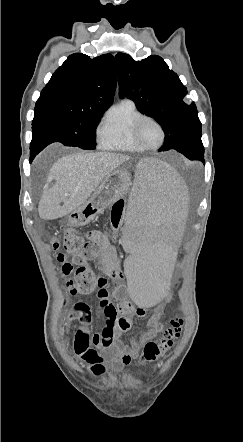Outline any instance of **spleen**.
Returning <instances> with one entry per match:
<instances>
[{
    "label": "spleen",
    "instance_id": "1",
    "mask_svg": "<svg viewBox=\"0 0 243 442\" xmlns=\"http://www.w3.org/2000/svg\"><path fill=\"white\" fill-rule=\"evenodd\" d=\"M127 217L121 234L127 248L122 265L128 287L126 296L134 307H158L170 291V274L178 258L187 214L188 193L181 172L169 163L144 159L136 163Z\"/></svg>",
    "mask_w": 243,
    "mask_h": 442
}]
</instances>
